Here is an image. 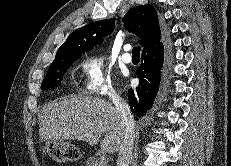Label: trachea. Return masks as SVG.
<instances>
[{
	"label": "trachea",
	"instance_id": "obj_1",
	"mask_svg": "<svg viewBox=\"0 0 231 166\" xmlns=\"http://www.w3.org/2000/svg\"><path fill=\"white\" fill-rule=\"evenodd\" d=\"M140 51L141 47L136 46L132 49V57H139L140 58Z\"/></svg>",
	"mask_w": 231,
	"mask_h": 166
}]
</instances>
